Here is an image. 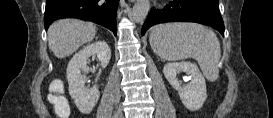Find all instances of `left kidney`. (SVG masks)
<instances>
[{
    "instance_id": "1",
    "label": "left kidney",
    "mask_w": 273,
    "mask_h": 118,
    "mask_svg": "<svg viewBox=\"0 0 273 118\" xmlns=\"http://www.w3.org/2000/svg\"><path fill=\"white\" fill-rule=\"evenodd\" d=\"M184 72L191 78V82L181 86L177 79V73ZM165 78L170 85L178 91L180 99L184 106L191 110H199L206 98V82L198 67L191 62H173L168 63L163 68Z\"/></svg>"
}]
</instances>
